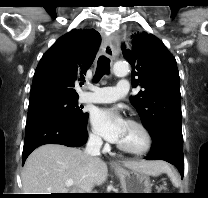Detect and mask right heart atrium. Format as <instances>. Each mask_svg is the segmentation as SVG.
Wrapping results in <instances>:
<instances>
[{
  "instance_id": "d8ad5b80",
  "label": "right heart atrium",
  "mask_w": 208,
  "mask_h": 198,
  "mask_svg": "<svg viewBox=\"0 0 208 198\" xmlns=\"http://www.w3.org/2000/svg\"><path fill=\"white\" fill-rule=\"evenodd\" d=\"M89 139L94 145H100L102 143L100 136L95 131L90 133Z\"/></svg>"
}]
</instances>
